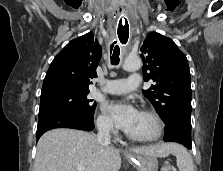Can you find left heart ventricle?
I'll return each mask as SVG.
<instances>
[{
  "label": "left heart ventricle",
  "instance_id": "b2bd125f",
  "mask_svg": "<svg viewBox=\"0 0 223 171\" xmlns=\"http://www.w3.org/2000/svg\"><path fill=\"white\" fill-rule=\"evenodd\" d=\"M155 131L156 126L152 118L139 113L134 124L127 133L134 137L146 138L152 136Z\"/></svg>",
  "mask_w": 223,
  "mask_h": 171
}]
</instances>
